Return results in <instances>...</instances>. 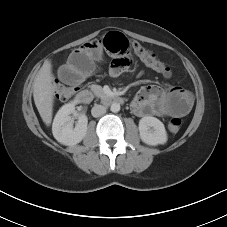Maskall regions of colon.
Returning a JSON list of instances; mask_svg holds the SVG:
<instances>
[{
  "instance_id": "obj_1",
  "label": "colon",
  "mask_w": 227,
  "mask_h": 227,
  "mask_svg": "<svg viewBox=\"0 0 227 227\" xmlns=\"http://www.w3.org/2000/svg\"><path fill=\"white\" fill-rule=\"evenodd\" d=\"M97 49H105L114 57V59H121L123 57L131 59L132 54H135L147 67L163 74L164 76L170 75L169 67L158 58L156 54L138 42L128 39L121 33L110 32L101 39H94L86 42L78 50L93 51ZM77 89L78 87L67 86L60 80H57L55 83V96L57 99L64 101L70 98ZM181 125V119L172 118L168 123V129L171 132L176 133L180 130Z\"/></svg>"
}]
</instances>
